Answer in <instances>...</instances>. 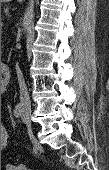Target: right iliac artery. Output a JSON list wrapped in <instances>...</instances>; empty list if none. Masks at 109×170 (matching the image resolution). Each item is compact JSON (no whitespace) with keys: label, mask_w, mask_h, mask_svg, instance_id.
I'll list each match as a JSON object with an SVG mask.
<instances>
[{"label":"right iliac artery","mask_w":109,"mask_h":170,"mask_svg":"<svg viewBox=\"0 0 109 170\" xmlns=\"http://www.w3.org/2000/svg\"><path fill=\"white\" fill-rule=\"evenodd\" d=\"M23 113V107L21 104L16 105L14 109V115L16 118H20Z\"/></svg>","instance_id":"right-iliac-artery-1"}]
</instances>
